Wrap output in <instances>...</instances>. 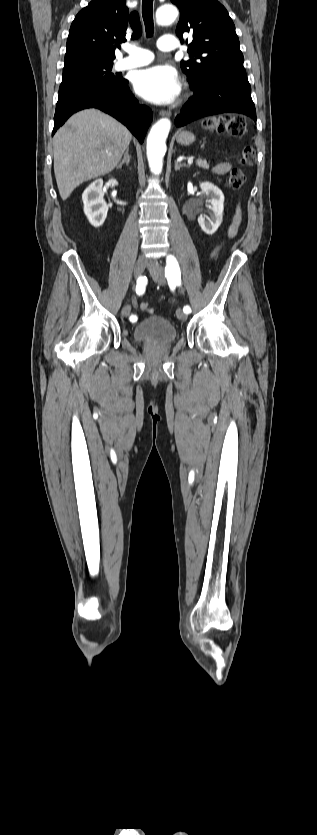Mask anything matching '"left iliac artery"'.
I'll return each instance as SVG.
<instances>
[{
    "label": "left iliac artery",
    "mask_w": 317,
    "mask_h": 835,
    "mask_svg": "<svg viewBox=\"0 0 317 835\" xmlns=\"http://www.w3.org/2000/svg\"><path fill=\"white\" fill-rule=\"evenodd\" d=\"M165 276L168 280V283L171 288H174L176 285H181V271L177 259L169 255L167 257V264L165 267ZM183 311L188 314L191 312V308L189 305L183 307Z\"/></svg>",
    "instance_id": "obj_1"
}]
</instances>
